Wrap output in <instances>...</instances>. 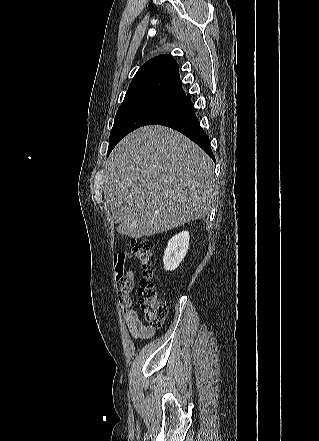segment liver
Returning a JSON list of instances; mask_svg holds the SVG:
<instances>
[{"label": "liver", "mask_w": 319, "mask_h": 441, "mask_svg": "<svg viewBox=\"0 0 319 441\" xmlns=\"http://www.w3.org/2000/svg\"><path fill=\"white\" fill-rule=\"evenodd\" d=\"M212 159L173 129L149 125L123 138L104 176L119 234L151 236L209 215L217 198Z\"/></svg>", "instance_id": "liver-1"}]
</instances>
